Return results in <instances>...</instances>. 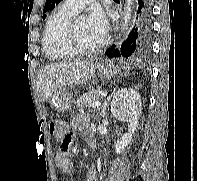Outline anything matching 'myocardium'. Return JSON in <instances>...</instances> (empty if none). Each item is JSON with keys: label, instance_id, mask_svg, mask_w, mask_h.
I'll return each mask as SVG.
<instances>
[{"label": "myocardium", "instance_id": "obj_1", "mask_svg": "<svg viewBox=\"0 0 197 181\" xmlns=\"http://www.w3.org/2000/svg\"><path fill=\"white\" fill-rule=\"evenodd\" d=\"M66 44L68 49L76 56H92L103 48L104 40H102L96 47L90 49L83 48L77 40L76 21H71L67 29Z\"/></svg>", "mask_w": 197, "mask_h": 181}]
</instances>
